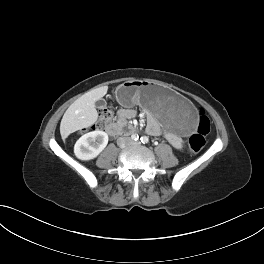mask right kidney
<instances>
[{
    "label": "right kidney",
    "mask_w": 264,
    "mask_h": 264,
    "mask_svg": "<svg viewBox=\"0 0 264 264\" xmlns=\"http://www.w3.org/2000/svg\"><path fill=\"white\" fill-rule=\"evenodd\" d=\"M108 144L104 131H92L81 136L74 146L75 156L84 161L96 158Z\"/></svg>",
    "instance_id": "right-kidney-1"
}]
</instances>
